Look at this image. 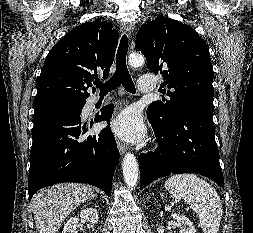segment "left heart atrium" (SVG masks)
<instances>
[{
  "label": "left heart atrium",
  "instance_id": "39dd6f15",
  "mask_svg": "<svg viewBox=\"0 0 253 233\" xmlns=\"http://www.w3.org/2000/svg\"><path fill=\"white\" fill-rule=\"evenodd\" d=\"M112 129L119 137L129 141H137L145 133L140 114L132 109L122 112L112 123Z\"/></svg>",
  "mask_w": 253,
  "mask_h": 233
}]
</instances>
